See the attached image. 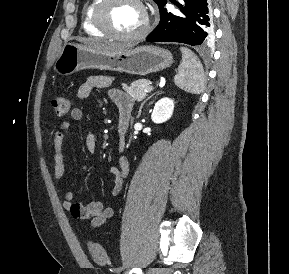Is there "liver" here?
Masks as SVG:
<instances>
[{
  "mask_svg": "<svg viewBox=\"0 0 289 274\" xmlns=\"http://www.w3.org/2000/svg\"><path fill=\"white\" fill-rule=\"evenodd\" d=\"M88 45L89 47L103 51H120L125 49L123 46L110 43L90 42Z\"/></svg>",
  "mask_w": 289,
  "mask_h": 274,
  "instance_id": "6515ba94",
  "label": "liver"
}]
</instances>
